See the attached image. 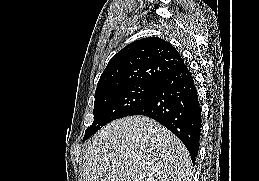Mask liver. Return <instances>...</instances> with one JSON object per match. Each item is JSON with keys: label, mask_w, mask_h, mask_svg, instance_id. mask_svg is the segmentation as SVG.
I'll use <instances>...</instances> for the list:
<instances>
[{"label": "liver", "mask_w": 259, "mask_h": 181, "mask_svg": "<svg viewBox=\"0 0 259 181\" xmlns=\"http://www.w3.org/2000/svg\"><path fill=\"white\" fill-rule=\"evenodd\" d=\"M83 181H192L184 144L168 129L144 116L104 126L83 156Z\"/></svg>", "instance_id": "obj_1"}]
</instances>
